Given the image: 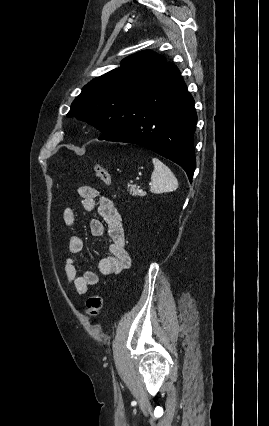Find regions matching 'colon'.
<instances>
[{
	"label": "colon",
	"mask_w": 269,
	"mask_h": 426,
	"mask_svg": "<svg viewBox=\"0 0 269 426\" xmlns=\"http://www.w3.org/2000/svg\"><path fill=\"white\" fill-rule=\"evenodd\" d=\"M93 173L95 177L106 185H111L112 179L108 170L101 164H95L93 166ZM104 298L101 293H96L88 297L86 301L87 313L90 316H97L103 306Z\"/></svg>",
	"instance_id": "obj_1"
}]
</instances>
